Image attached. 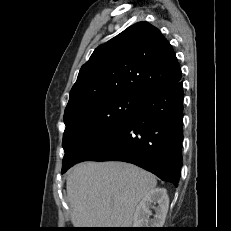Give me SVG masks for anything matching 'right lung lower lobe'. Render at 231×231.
<instances>
[{
	"label": "right lung lower lobe",
	"mask_w": 231,
	"mask_h": 231,
	"mask_svg": "<svg viewBox=\"0 0 231 231\" xmlns=\"http://www.w3.org/2000/svg\"><path fill=\"white\" fill-rule=\"evenodd\" d=\"M183 99L181 81L141 93L135 113L79 162L124 161L177 186L182 166Z\"/></svg>",
	"instance_id": "obj_1"
}]
</instances>
